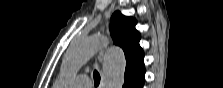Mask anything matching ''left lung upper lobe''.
Segmentation results:
<instances>
[{
  "instance_id": "5c2ea615",
  "label": "left lung upper lobe",
  "mask_w": 223,
  "mask_h": 88,
  "mask_svg": "<svg viewBox=\"0 0 223 88\" xmlns=\"http://www.w3.org/2000/svg\"><path fill=\"white\" fill-rule=\"evenodd\" d=\"M134 18L125 17L116 11L110 21V33L113 42L123 48L126 57V68L144 65L143 50L139 45L140 34L135 29Z\"/></svg>"
}]
</instances>
